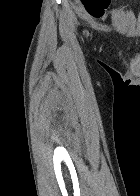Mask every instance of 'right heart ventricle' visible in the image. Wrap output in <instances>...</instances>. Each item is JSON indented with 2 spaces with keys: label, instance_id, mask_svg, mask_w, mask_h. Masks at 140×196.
I'll return each mask as SVG.
<instances>
[{
  "label": "right heart ventricle",
  "instance_id": "obj_1",
  "mask_svg": "<svg viewBox=\"0 0 140 196\" xmlns=\"http://www.w3.org/2000/svg\"><path fill=\"white\" fill-rule=\"evenodd\" d=\"M92 192H111V191H92Z\"/></svg>",
  "mask_w": 140,
  "mask_h": 196
}]
</instances>
